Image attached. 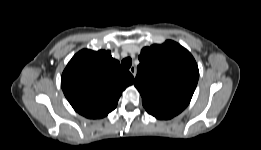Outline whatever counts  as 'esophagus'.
<instances>
[{"label":"esophagus","instance_id":"esophagus-1","mask_svg":"<svg viewBox=\"0 0 261 150\" xmlns=\"http://www.w3.org/2000/svg\"><path fill=\"white\" fill-rule=\"evenodd\" d=\"M129 72H130L133 76H135V75H136V67H135V66H131V67L129 68Z\"/></svg>","mask_w":261,"mask_h":150}]
</instances>
